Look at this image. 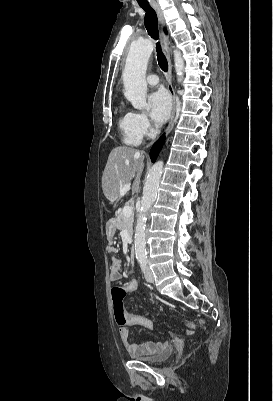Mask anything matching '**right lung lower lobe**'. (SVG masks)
<instances>
[{
  "label": "right lung lower lobe",
  "mask_w": 273,
  "mask_h": 401,
  "mask_svg": "<svg viewBox=\"0 0 273 401\" xmlns=\"http://www.w3.org/2000/svg\"><path fill=\"white\" fill-rule=\"evenodd\" d=\"M164 140H165V135L163 134V136H161L152 146L151 150H150V157L152 162L156 161V158L160 152V150L162 149V146L164 144Z\"/></svg>",
  "instance_id": "right-lung-lower-lobe-1"
}]
</instances>
